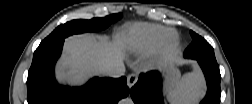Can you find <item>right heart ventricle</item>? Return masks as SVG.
I'll return each instance as SVG.
<instances>
[{
  "label": "right heart ventricle",
  "instance_id": "right-heart-ventricle-1",
  "mask_svg": "<svg viewBox=\"0 0 252 104\" xmlns=\"http://www.w3.org/2000/svg\"><path fill=\"white\" fill-rule=\"evenodd\" d=\"M176 36L174 29L153 24H140L133 28L126 47L134 52L150 51L171 43Z\"/></svg>",
  "mask_w": 252,
  "mask_h": 104
}]
</instances>
